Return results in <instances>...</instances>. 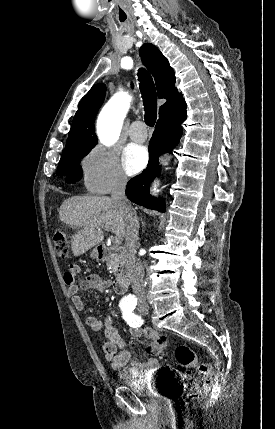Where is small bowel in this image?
Segmentation results:
<instances>
[{"mask_svg":"<svg viewBox=\"0 0 275 429\" xmlns=\"http://www.w3.org/2000/svg\"><path fill=\"white\" fill-rule=\"evenodd\" d=\"M81 269L78 265H70L64 274V282L68 287V294L71 297L72 303L78 311H83L85 308L84 302L79 296L80 286L86 289L92 288L103 292L108 289L110 282L96 274L88 275L78 284L76 275ZM89 328L95 332L104 330L106 341L103 344L105 359L110 367L118 372L124 379L137 378L149 371L157 370L158 361L154 358H149L145 361H135L132 359L125 341L119 335L117 329L113 326L110 317L99 319L96 316H87L85 319ZM130 334L133 337L145 336L151 341L148 351L155 352L157 343L163 338L157 331L153 329L131 328Z\"/></svg>","mask_w":275,"mask_h":429,"instance_id":"obj_1","label":"small bowel"}]
</instances>
